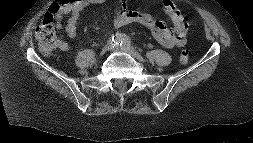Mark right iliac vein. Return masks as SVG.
Instances as JSON below:
<instances>
[{"label": "right iliac vein", "mask_w": 253, "mask_h": 143, "mask_svg": "<svg viewBox=\"0 0 253 143\" xmlns=\"http://www.w3.org/2000/svg\"><path fill=\"white\" fill-rule=\"evenodd\" d=\"M109 50V47L108 46H104L101 50V53L102 54H105L107 51Z\"/></svg>", "instance_id": "63e3f726"}]
</instances>
